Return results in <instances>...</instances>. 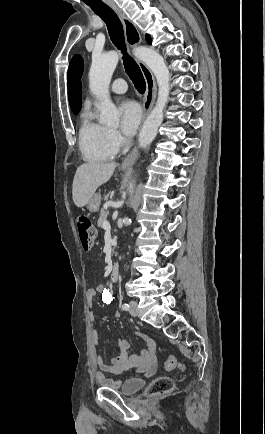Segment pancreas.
<instances>
[{
  "instance_id": "pancreas-1",
  "label": "pancreas",
  "mask_w": 265,
  "mask_h": 434,
  "mask_svg": "<svg viewBox=\"0 0 265 434\" xmlns=\"http://www.w3.org/2000/svg\"><path fill=\"white\" fill-rule=\"evenodd\" d=\"M109 212H105L104 208H101L100 214H99V220L97 222L98 228H103L104 222L107 220Z\"/></svg>"
}]
</instances>
